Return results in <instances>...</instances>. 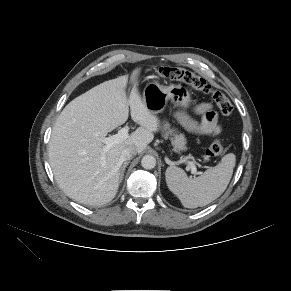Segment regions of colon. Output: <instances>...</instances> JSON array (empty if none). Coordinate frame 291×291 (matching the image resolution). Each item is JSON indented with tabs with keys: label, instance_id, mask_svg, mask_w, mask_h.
I'll return each instance as SVG.
<instances>
[{
	"label": "colon",
	"instance_id": "obj_1",
	"mask_svg": "<svg viewBox=\"0 0 291 291\" xmlns=\"http://www.w3.org/2000/svg\"><path fill=\"white\" fill-rule=\"evenodd\" d=\"M158 75L166 80L182 82L195 90L210 95L223 116L231 115L233 106L230 100L224 93L214 89L204 78L179 67H161L158 70ZM224 150L223 142L217 139L210 143L207 154L215 157L221 155Z\"/></svg>",
	"mask_w": 291,
	"mask_h": 291
}]
</instances>
